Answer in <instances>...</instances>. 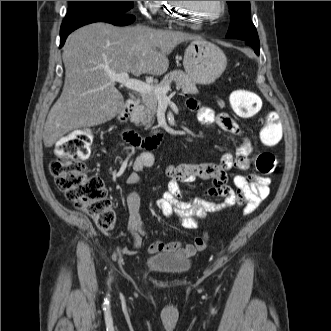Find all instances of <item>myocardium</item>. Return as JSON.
<instances>
[{
	"instance_id": "1",
	"label": "myocardium",
	"mask_w": 331,
	"mask_h": 331,
	"mask_svg": "<svg viewBox=\"0 0 331 331\" xmlns=\"http://www.w3.org/2000/svg\"><path fill=\"white\" fill-rule=\"evenodd\" d=\"M176 4L179 6V8L173 10L172 18L178 23L191 25H197L198 23H204L219 18L224 14L226 8L225 1H219V10L215 15L198 18L195 20L188 16L189 13L187 12V8H189V6L186 1H176Z\"/></svg>"
}]
</instances>
